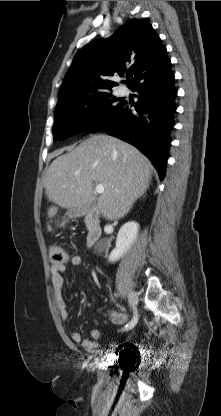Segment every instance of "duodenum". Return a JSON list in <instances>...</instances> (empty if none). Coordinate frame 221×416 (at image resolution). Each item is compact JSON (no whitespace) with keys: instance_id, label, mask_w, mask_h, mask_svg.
Instances as JSON below:
<instances>
[{"instance_id":"obj_1","label":"duodenum","mask_w":221,"mask_h":416,"mask_svg":"<svg viewBox=\"0 0 221 416\" xmlns=\"http://www.w3.org/2000/svg\"><path fill=\"white\" fill-rule=\"evenodd\" d=\"M79 216H85L87 221V246L92 247L95 245L102 236V228L98 219L97 209L89 211L76 212Z\"/></svg>"}]
</instances>
